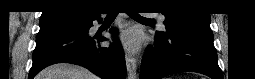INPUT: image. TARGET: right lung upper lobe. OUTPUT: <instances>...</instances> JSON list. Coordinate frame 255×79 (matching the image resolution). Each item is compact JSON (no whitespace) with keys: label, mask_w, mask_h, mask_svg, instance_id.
I'll return each mask as SVG.
<instances>
[{"label":"right lung upper lobe","mask_w":255,"mask_h":79,"mask_svg":"<svg viewBox=\"0 0 255 79\" xmlns=\"http://www.w3.org/2000/svg\"><path fill=\"white\" fill-rule=\"evenodd\" d=\"M64 13H73L80 20L85 21L100 15V9L86 0H48L41 18Z\"/></svg>","instance_id":"obj_1"}]
</instances>
